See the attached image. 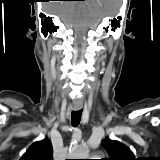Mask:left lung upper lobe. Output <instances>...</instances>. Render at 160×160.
<instances>
[{
  "label": "left lung upper lobe",
  "instance_id": "5c2ea615",
  "mask_svg": "<svg viewBox=\"0 0 160 160\" xmlns=\"http://www.w3.org/2000/svg\"><path fill=\"white\" fill-rule=\"evenodd\" d=\"M102 146L110 156L102 160H136L132 151L118 141L106 139L102 141Z\"/></svg>",
  "mask_w": 160,
  "mask_h": 160
}]
</instances>
